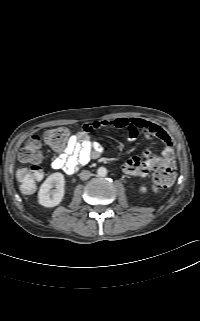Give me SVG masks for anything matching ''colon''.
Masks as SVG:
<instances>
[{"instance_id":"colon-1","label":"colon","mask_w":200,"mask_h":321,"mask_svg":"<svg viewBox=\"0 0 200 321\" xmlns=\"http://www.w3.org/2000/svg\"><path fill=\"white\" fill-rule=\"evenodd\" d=\"M69 135L70 132L67 128L56 127L47 130L43 135V140L55 150H61L65 147ZM19 158L21 161L28 162L31 165L18 169L17 180L23 192L32 193L43 176L39 166L41 141L38 136L33 135L27 138L19 152ZM176 174L174 154L166 153L161 155L152 177L154 189L159 191L170 187L176 179Z\"/></svg>"}]
</instances>
